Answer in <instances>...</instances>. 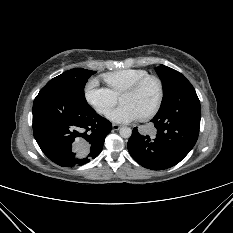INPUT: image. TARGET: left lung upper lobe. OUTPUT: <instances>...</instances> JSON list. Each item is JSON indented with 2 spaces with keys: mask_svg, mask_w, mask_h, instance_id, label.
I'll use <instances>...</instances> for the list:
<instances>
[{
  "mask_svg": "<svg viewBox=\"0 0 233 233\" xmlns=\"http://www.w3.org/2000/svg\"><path fill=\"white\" fill-rule=\"evenodd\" d=\"M155 70L158 73L163 85V99L160 106L161 109L173 95L178 84L186 78L180 72L164 65L156 67Z\"/></svg>",
  "mask_w": 233,
  "mask_h": 233,
  "instance_id": "obj_1",
  "label": "left lung upper lobe"
}]
</instances>
